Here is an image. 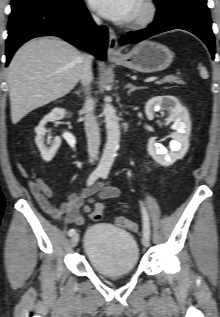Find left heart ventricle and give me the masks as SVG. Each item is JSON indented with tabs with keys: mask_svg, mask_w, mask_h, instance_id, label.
Returning a JSON list of instances; mask_svg holds the SVG:
<instances>
[{
	"mask_svg": "<svg viewBox=\"0 0 220 317\" xmlns=\"http://www.w3.org/2000/svg\"><path fill=\"white\" fill-rule=\"evenodd\" d=\"M141 10V5L139 2H137L136 7H135V12H134V16H136Z\"/></svg>",
	"mask_w": 220,
	"mask_h": 317,
	"instance_id": "b2bd125f",
	"label": "left heart ventricle"
}]
</instances>
